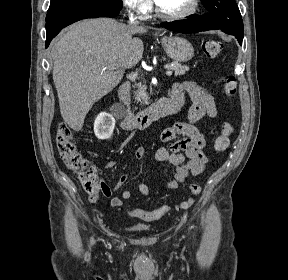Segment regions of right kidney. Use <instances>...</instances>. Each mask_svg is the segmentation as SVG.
<instances>
[{
  "label": "right kidney",
  "mask_w": 288,
  "mask_h": 280,
  "mask_svg": "<svg viewBox=\"0 0 288 280\" xmlns=\"http://www.w3.org/2000/svg\"><path fill=\"white\" fill-rule=\"evenodd\" d=\"M115 126V120L111 115L100 114L94 122V133L98 139H109Z\"/></svg>",
  "instance_id": "ca27d5eb"
}]
</instances>
